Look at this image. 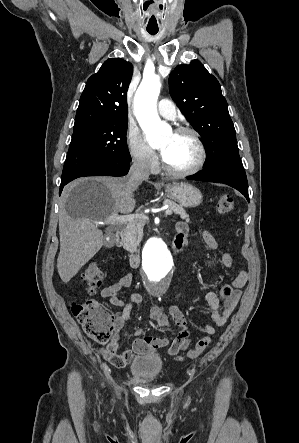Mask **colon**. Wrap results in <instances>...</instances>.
I'll return each mask as SVG.
<instances>
[{"mask_svg":"<svg viewBox=\"0 0 299 443\" xmlns=\"http://www.w3.org/2000/svg\"><path fill=\"white\" fill-rule=\"evenodd\" d=\"M217 212L228 214L234 209V199L231 195H221L216 205ZM90 294L96 293L102 283L103 273L97 262H89L81 276ZM73 315L78 319L86 336L97 344L109 343L113 337L116 317L107 307L95 299H86L74 302L71 305ZM211 339L203 337L197 341L195 346L188 350L185 357L188 359L198 358L209 346Z\"/></svg>","mask_w":299,"mask_h":443,"instance_id":"colon-1","label":"colon"}]
</instances>
